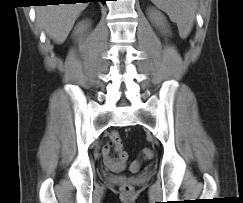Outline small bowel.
Wrapping results in <instances>:
<instances>
[{"label":"small bowel","instance_id":"obj_1","mask_svg":"<svg viewBox=\"0 0 243 203\" xmlns=\"http://www.w3.org/2000/svg\"><path fill=\"white\" fill-rule=\"evenodd\" d=\"M121 149L122 140L119 133L115 131L110 134L109 141L101 149L105 165L115 173H120L125 169V161L121 160L119 156ZM113 151L118 155V158L114 157ZM137 168V162L131 164L132 170H136Z\"/></svg>","mask_w":243,"mask_h":203}]
</instances>
